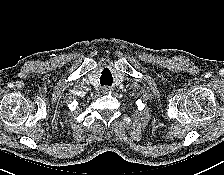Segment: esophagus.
Returning <instances> with one entry per match:
<instances>
[{
    "instance_id": "1",
    "label": "esophagus",
    "mask_w": 224,
    "mask_h": 175,
    "mask_svg": "<svg viewBox=\"0 0 224 175\" xmlns=\"http://www.w3.org/2000/svg\"><path fill=\"white\" fill-rule=\"evenodd\" d=\"M111 91H112V88L109 87V86H104V87L101 89V92H102L103 94H107V93H109V92H111Z\"/></svg>"
}]
</instances>
